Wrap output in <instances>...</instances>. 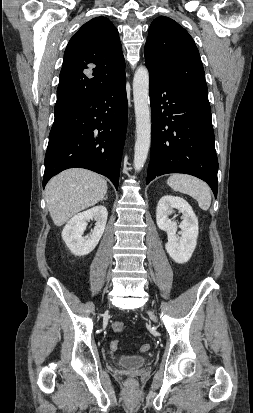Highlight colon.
<instances>
[{"instance_id": "5ec220e1", "label": "colon", "mask_w": 253, "mask_h": 413, "mask_svg": "<svg viewBox=\"0 0 253 413\" xmlns=\"http://www.w3.org/2000/svg\"><path fill=\"white\" fill-rule=\"evenodd\" d=\"M112 329H113L114 332L120 333V332H122V331L124 330V324H123L121 321H114V322L112 323ZM111 347H112V349L117 350V349L119 348V343H118V341H113V342L111 343ZM149 349H150V345H149V344H143V345L141 346V348H140V350H141L142 352H147ZM128 384H129L130 386H133V385H134V381H133L132 379H129V380H128Z\"/></svg>"}]
</instances>
